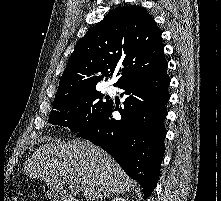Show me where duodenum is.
Segmentation results:
<instances>
[{"instance_id": "1", "label": "duodenum", "mask_w": 221, "mask_h": 201, "mask_svg": "<svg viewBox=\"0 0 221 201\" xmlns=\"http://www.w3.org/2000/svg\"><path fill=\"white\" fill-rule=\"evenodd\" d=\"M58 197H59L60 201H77L69 196L64 197V196L59 195Z\"/></svg>"}]
</instances>
